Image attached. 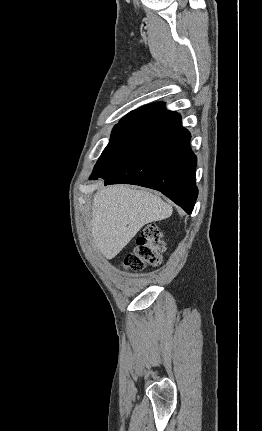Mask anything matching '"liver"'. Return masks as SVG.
Masks as SVG:
<instances>
[{
    "mask_svg": "<svg viewBox=\"0 0 262 431\" xmlns=\"http://www.w3.org/2000/svg\"><path fill=\"white\" fill-rule=\"evenodd\" d=\"M172 207L147 190L108 186L93 196V245L107 259L114 258L146 224L172 215Z\"/></svg>",
    "mask_w": 262,
    "mask_h": 431,
    "instance_id": "liver-1",
    "label": "liver"
}]
</instances>
